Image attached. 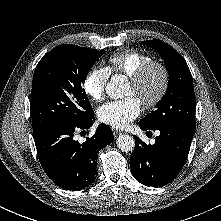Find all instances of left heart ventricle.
Instances as JSON below:
<instances>
[{"label":"left heart ventricle","mask_w":221,"mask_h":221,"mask_svg":"<svg viewBox=\"0 0 221 221\" xmlns=\"http://www.w3.org/2000/svg\"><path fill=\"white\" fill-rule=\"evenodd\" d=\"M161 80L162 76L160 71L154 70L142 88L136 89L131 83H129L125 96H134L140 101L143 98L152 97L158 91Z\"/></svg>","instance_id":"obj_1"}]
</instances>
